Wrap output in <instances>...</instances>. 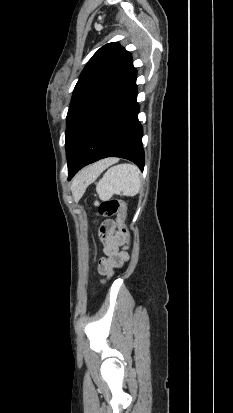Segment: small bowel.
<instances>
[{"label": "small bowel", "instance_id": "small-bowel-1", "mask_svg": "<svg viewBox=\"0 0 233 413\" xmlns=\"http://www.w3.org/2000/svg\"><path fill=\"white\" fill-rule=\"evenodd\" d=\"M101 239L106 257L100 259L98 271L101 275L110 277L113 269L121 267L128 258L125 251H120V248L126 244V240L115 231L113 221H107L104 224V230L101 231Z\"/></svg>", "mask_w": 233, "mask_h": 413}]
</instances>
